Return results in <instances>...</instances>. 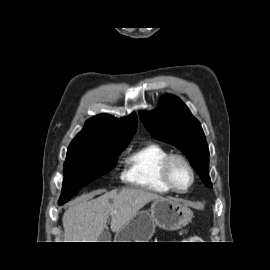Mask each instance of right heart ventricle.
<instances>
[{
    "label": "right heart ventricle",
    "instance_id": "obj_1",
    "mask_svg": "<svg viewBox=\"0 0 270 270\" xmlns=\"http://www.w3.org/2000/svg\"><path fill=\"white\" fill-rule=\"evenodd\" d=\"M170 153L160 144L149 142L132 152L125 159L123 180L134 187L158 194L171 189L162 176V164Z\"/></svg>",
    "mask_w": 270,
    "mask_h": 270
}]
</instances>
